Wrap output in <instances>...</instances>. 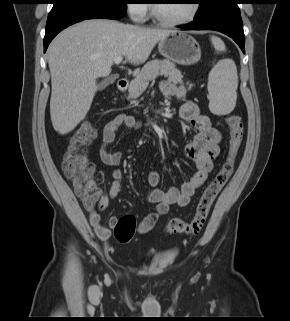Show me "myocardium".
Returning a JSON list of instances; mask_svg holds the SVG:
<instances>
[{"mask_svg": "<svg viewBox=\"0 0 290 321\" xmlns=\"http://www.w3.org/2000/svg\"><path fill=\"white\" fill-rule=\"evenodd\" d=\"M200 9V4L198 3L197 0L193 1V8L190 13V15L184 19L181 20H167L164 19L160 16L158 9H157V1H153L150 5V10H151V16L155 23H157L160 26H165V27H176V26H182L186 25L188 23H191L197 16L198 12Z\"/></svg>", "mask_w": 290, "mask_h": 321, "instance_id": "obj_1", "label": "myocardium"}]
</instances>
